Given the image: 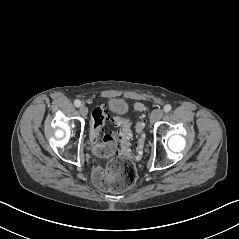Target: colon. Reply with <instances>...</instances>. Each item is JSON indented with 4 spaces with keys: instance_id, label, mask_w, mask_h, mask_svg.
<instances>
[{
    "instance_id": "5ec220e1",
    "label": "colon",
    "mask_w": 239,
    "mask_h": 239,
    "mask_svg": "<svg viewBox=\"0 0 239 239\" xmlns=\"http://www.w3.org/2000/svg\"><path fill=\"white\" fill-rule=\"evenodd\" d=\"M135 109L145 112L147 107L143 103H136ZM110 123L120 128L119 133L102 136L101 132ZM144 128V121H139L135 126L137 143L136 151L132 154L129 150L131 130L127 121L119 116L111 118L102 106L93 110L90 123L93 151L98 156H111L103 168L99 167L93 173V181L98 188L107 192H122L133 186L137 171L130 157L138 158L142 154L145 142Z\"/></svg>"
}]
</instances>
